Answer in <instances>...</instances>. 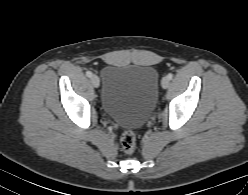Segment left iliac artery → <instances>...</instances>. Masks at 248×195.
I'll use <instances>...</instances> for the list:
<instances>
[{"label": "left iliac artery", "mask_w": 248, "mask_h": 195, "mask_svg": "<svg viewBox=\"0 0 248 195\" xmlns=\"http://www.w3.org/2000/svg\"><path fill=\"white\" fill-rule=\"evenodd\" d=\"M167 77H168L169 80H171V79L173 78V74H172V73H169V74L167 75Z\"/></svg>", "instance_id": "1"}]
</instances>
